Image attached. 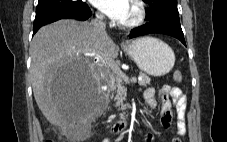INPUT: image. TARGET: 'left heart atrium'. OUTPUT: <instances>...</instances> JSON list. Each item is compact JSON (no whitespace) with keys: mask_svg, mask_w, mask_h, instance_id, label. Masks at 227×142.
<instances>
[{"mask_svg":"<svg viewBox=\"0 0 227 142\" xmlns=\"http://www.w3.org/2000/svg\"><path fill=\"white\" fill-rule=\"evenodd\" d=\"M92 3L111 19L124 22L127 18L131 0H91Z\"/></svg>","mask_w":227,"mask_h":142,"instance_id":"1","label":"left heart atrium"}]
</instances>
